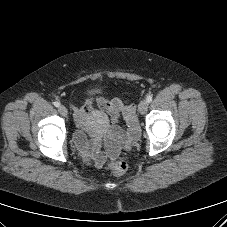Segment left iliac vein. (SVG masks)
<instances>
[{"mask_svg":"<svg viewBox=\"0 0 227 227\" xmlns=\"http://www.w3.org/2000/svg\"><path fill=\"white\" fill-rule=\"evenodd\" d=\"M138 109H139V112L141 114H145L147 112V109H148V102H147V100H142L139 103Z\"/></svg>","mask_w":227,"mask_h":227,"instance_id":"obj_1","label":"left iliac vein"}]
</instances>
